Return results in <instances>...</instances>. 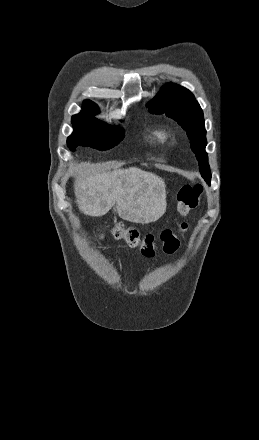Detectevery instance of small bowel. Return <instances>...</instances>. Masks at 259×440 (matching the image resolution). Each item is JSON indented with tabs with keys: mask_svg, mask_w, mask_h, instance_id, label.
<instances>
[{
	"mask_svg": "<svg viewBox=\"0 0 259 440\" xmlns=\"http://www.w3.org/2000/svg\"><path fill=\"white\" fill-rule=\"evenodd\" d=\"M108 260H109L110 263L112 264V259H111V256H110V255H108Z\"/></svg>",
	"mask_w": 259,
	"mask_h": 440,
	"instance_id": "1",
	"label": "small bowel"
}]
</instances>
